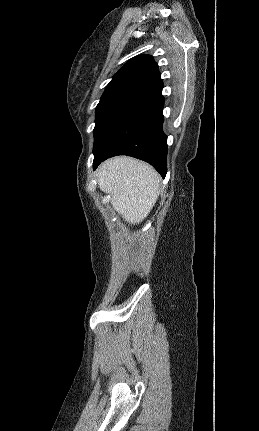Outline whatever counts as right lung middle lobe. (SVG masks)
<instances>
[{
    "mask_svg": "<svg viewBox=\"0 0 259 431\" xmlns=\"http://www.w3.org/2000/svg\"><path fill=\"white\" fill-rule=\"evenodd\" d=\"M150 94L152 92L149 88L138 83H128L118 89L104 91L96 107L93 149L131 107Z\"/></svg>",
    "mask_w": 259,
    "mask_h": 431,
    "instance_id": "right-lung-middle-lobe-1",
    "label": "right lung middle lobe"
}]
</instances>
